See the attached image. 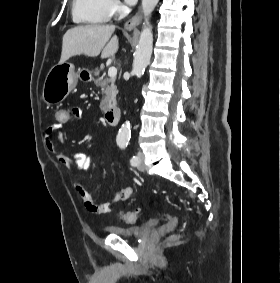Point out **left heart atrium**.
Returning <instances> with one entry per match:
<instances>
[{"label":"left heart atrium","instance_id":"obj_1","mask_svg":"<svg viewBox=\"0 0 280 283\" xmlns=\"http://www.w3.org/2000/svg\"><path fill=\"white\" fill-rule=\"evenodd\" d=\"M125 2L129 5H134L137 2V0H125Z\"/></svg>","mask_w":280,"mask_h":283}]
</instances>
